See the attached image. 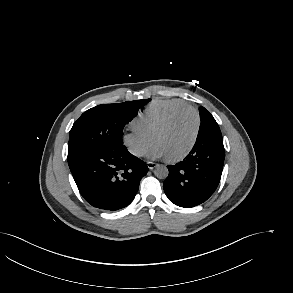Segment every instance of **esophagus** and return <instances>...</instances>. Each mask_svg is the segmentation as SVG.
<instances>
[{
  "mask_svg": "<svg viewBox=\"0 0 293 293\" xmlns=\"http://www.w3.org/2000/svg\"><path fill=\"white\" fill-rule=\"evenodd\" d=\"M156 166H157V164L154 163V162H147V167H148L150 170H153Z\"/></svg>",
  "mask_w": 293,
  "mask_h": 293,
  "instance_id": "esophagus-1",
  "label": "esophagus"
}]
</instances>
